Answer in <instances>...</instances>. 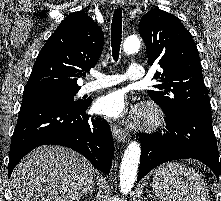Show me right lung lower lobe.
<instances>
[{"instance_id":"obj_1","label":"right lung lower lobe","mask_w":221,"mask_h":201,"mask_svg":"<svg viewBox=\"0 0 221 201\" xmlns=\"http://www.w3.org/2000/svg\"><path fill=\"white\" fill-rule=\"evenodd\" d=\"M91 102L75 105L45 98L23 99L11 139L8 176L27 153L47 144L69 147L109 173L113 137L104 119L86 114Z\"/></svg>"}]
</instances>
